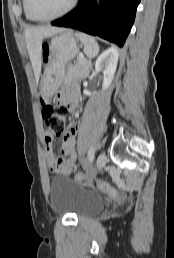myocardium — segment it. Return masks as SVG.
Instances as JSON below:
<instances>
[{
    "instance_id": "myocardium-1",
    "label": "myocardium",
    "mask_w": 174,
    "mask_h": 258,
    "mask_svg": "<svg viewBox=\"0 0 174 258\" xmlns=\"http://www.w3.org/2000/svg\"><path fill=\"white\" fill-rule=\"evenodd\" d=\"M30 2H31L30 0H25L26 11L30 15V17L36 21L49 22V21L56 20L58 18H61L65 15L69 14L76 7L78 0H72L66 9H64L63 11H61L58 14H55V15L49 16V17H39V16L35 15L31 9Z\"/></svg>"
}]
</instances>
